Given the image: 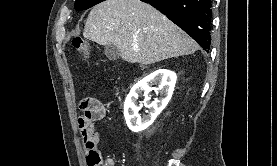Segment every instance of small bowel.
I'll return each instance as SVG.
<instances>
[{"label": "small bowel", "mask_w": 277, "mask_h": 166, "mask_svg": "<svg viewBox=\"0 0 277 166\" xmlns=\"http://www.w3.org/2000/svg\"><path fill=\"white\" fill-rule=\"evenodd\" d=\"M80 108L83 113L78 118L79 127H81V124H82L81 118L85 117L87 112H89L91 115L90 121H91L92 125H93V121H98V120L103 119L106 114V108H105L104 104L100 100L95 99V98H88V99L83 100L80 104ZM84 142H85L86 159H87L88 164L90 165V162H89L90 156L94 152H98L97 147L100 142V136H99V134L96 133V137H95L93 143H91L86 138H84Z\"/></svg>", "instance_id": "1"}]
</instances>
